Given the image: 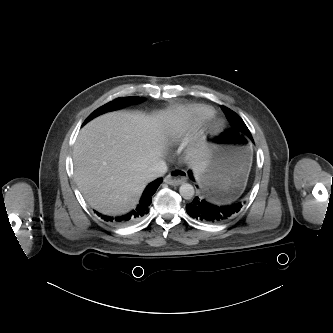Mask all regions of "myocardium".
Listing matches in <instances>:
<instances>
[{
  "mask_svg": "<svg viewBox=\"0 0 333 333\" xmlns=\"http://www.w3.org/2000/svg\"><path fill=\"white\" fill-rule=\"evenodd\" d=\"M223 122L214 117L210 116L207 118L202 126L201 134L199 136L198 143L192 148L193 153H200L202 149L206 146L205 140L208 137H214L219 134L222 130Z\"/></svg>",
  "mask_w": 333,
  "mask_h": 333,
  "instance_id": "myocardium-1",
  "label": "myocardium"
}]
</instances>
